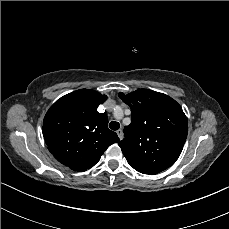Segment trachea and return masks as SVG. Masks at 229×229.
Wrapping results in <instances>:
<instances>
[{
    "label": "trachea",
    "mask_w": 229,
    "mask_h": 229,
    "mask_svg": "<svg viewBox=\"0 0 229 229\" xmlns=\"http://www.w3.org/2000/svg\"><path fill=\"white\" fill-rule=\"evenodd\" d=\"M109 127H110V129H112V130H118V129L120 128V123L117 122V121H111V122L109 123Z\"/></svg>",
    "instance_id": "1"
}]
</instances>
